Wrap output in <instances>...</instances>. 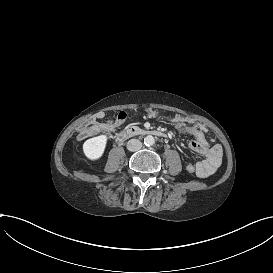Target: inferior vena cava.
Returning a JSON list of instances; mask_svg holds the SVG:
<instances>
[{
	"instance_id": "inferior-vena-cava-1",
	"label": "inferior vena cava",
	"mask_w": 273,
	"mask_h": 273,
	"mask_svg": "<svg viewBox=\"0 0 273 273\" xmlns=\"http://www.w3.org/2000/svg\"><path fill=\"white\" fill-rule=\"evenodd\" d=\"M142 148V143L138 139H131L127 143V149L129 151H138Z\"/></svg>"
}]
</instances>
